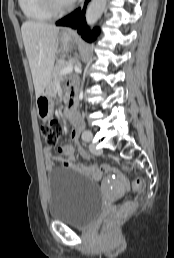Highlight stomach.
Wrapping results in <instances>:
<instances>
[{"mask_svg": "<svg viewBox=\"0 0 174 258\" xmlns=\"http://www.w3.org/2000/svg\"><path fill=\"white\" fill-rule=\"evenodd\" d=\"M73 41L71 33L62 32L60 34V42L63 51H68L70 44ZM37 113L40 119L46 121L53 115L54 103L50 87H47L43 93L36 98Z\"/></svg>", "mask_w": 174, "mask_h": 258, "instance_id": "stomach-1", "label": "stomach"}]
</instances>
